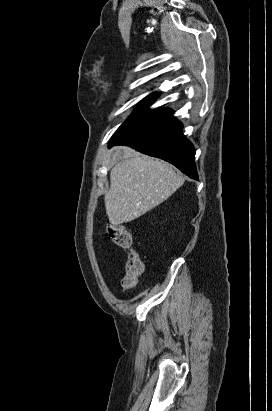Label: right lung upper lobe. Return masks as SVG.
<instances>
[{
	"mask_svg": "<svg viewBox=\"0 0 272 411\" xmlns=\"http://www.w3.org/2000/svg\"><path fill=\"white\" fill-rule=\"evenodd\" d=\"M151 97H154V96H158V93H152L151 95H150Z\"/></svg>",
	"mask_w": 272,
	"mask_h": 411,
	"instance_id": "obj_1",
	"label": "right lung upper lobe"
}]
</instances>
